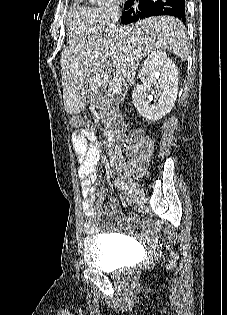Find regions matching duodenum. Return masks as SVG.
Instances as JSON below:
<instances>
[{
    "instance_id": "obj_1",
    "label": "duodenum",
    "mask_w": 227,
    "mask_h": 315,
    "mask_svg": "<svg viewBox=\"0 0 227 315\" xmlns=\"http://www.w3.org/2000/svg\"><path fill=\"white\" fill-rule=\"evenodd\" d=\"M127 129V123L125 121H123L122 123V130H126ZM119 141V136L111 131L107 134V142L111 145H116Z\"/></svg>"
}]
</instances>
